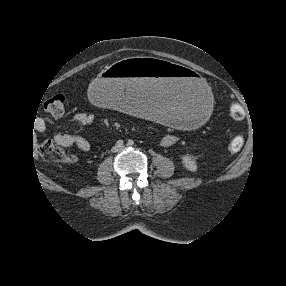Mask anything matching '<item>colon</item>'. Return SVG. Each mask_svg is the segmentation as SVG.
<instances>
[{"instance_id": "1", "label": "colon", "mask_w": 286, "mask_h": 286, "mask_svg": "<svg viewBox=\"0 0 286 286\" xmlns=\"http://www.w3.org/2000/svg\"><path fill=\"white\" fill-rule=\"evenodd\" d=\"M65 105V98L61 94H57L46 100L44 106L45 109L53 116H60L63 114ZM230 117L234 120H242L245 117V111L241 105L233 103L229 107ZM244 144V139L242 136L236 135L232 137L228 143V149L232 153L239 152ZM38 154L50 161L60 162L65 158V154L61 147L51 141L45 140L40 142L37 147Z\"/></svg>"}]
</instances>
